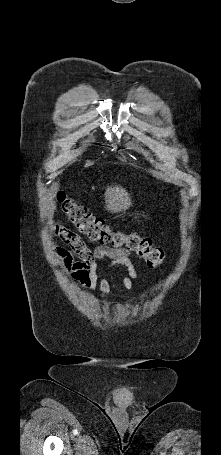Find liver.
<instances>
[{
    "instance_id": "liver-1",
    "label": "liver",
    "mask_w": 221,
    "mask_h": 455,
    "mask_svg": "<svg viewBox=\"0 0 221 455\" xmlns=\"http://www.w3.org/2000/svg\"><path fill=\"white\" fill-rule=\"evenodd\" d=\"M104 196L106 209L112 213L126 211L132 205L128 192L121 186L108 187Z\"/></svg>"
}]
</instances>
